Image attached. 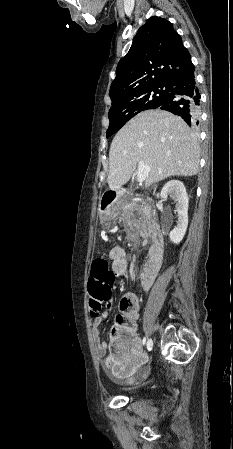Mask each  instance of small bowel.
Here are the masks:
<instances>
[{
  "mask_svg": "<svg viewBox=\"0 0 233 449\" xmlns=\"http://www.w3.org/2000/svg\"><path fill=\"white\" fill-rule=\"evenodd\" d=\"M111 262V279L112 283L119 276L129 277L127 270V259L125 250L120 246L111 248L108 253ZM141 287L148 289L153 281H155V272H140L138 275ZM112 305L107 303L105 309L92 320V338L97 357L101 360L103 367H109L112 373L124 380H133L137 374L139 366L146 360L141 349V341L134 334L133 344L126 350H118L114 353L107 354L108 344L102 342L99 336L101 324L108 319Z\"/></svg>",
  "mask_w": 233,
  "mask_h": 449,
  "instance_id": "c3829d8e",
  "label": "small bowel"
}]
</instances>
